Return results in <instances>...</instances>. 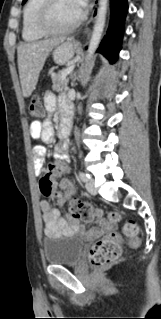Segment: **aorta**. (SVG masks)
Here are the masks:
<instances>
[{
	"label": "aorta",
	"mask_w": 161,
	"mask_h": 319,
	"mask_svg": "<svg viewBox=\"0 0 161 319\" xmlns=\"http://www.w3.org/2000/svg\"><path fill=\"white\" fill-rule=\"evenodd\" d=\"M108 1L109 0H99L98 2V11L97 16L95 19L92 37L89 43L88 51H87V62L92 58L93 54L95 53L102 34L105 27L106 22V14L108 9Z\"/></svg>",
	"instance_id": "1"
}]
</instances>
